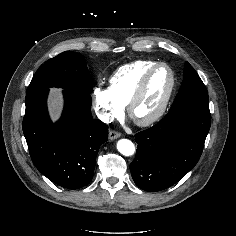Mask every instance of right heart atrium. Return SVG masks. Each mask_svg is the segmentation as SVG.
Segmentation results:
<instances>
[{
  "mask_svg": "<svg viewBox=\"0 0 236 236\" xmlns=\"http://www.w3.org/2000/svg\"><path fill=\"white\" fill-rule=\"evenodd\" d=\"M93 97L97 115L103 122H110L122 113L123 105L114 98L109 88H94Z\"/></svg>",
  "mask_w": 236,
  "mask_h": 236,
  "instance_id": "d8ad5b80",
  "label": "right heart atrium"
}]
</instances>
